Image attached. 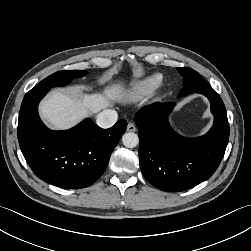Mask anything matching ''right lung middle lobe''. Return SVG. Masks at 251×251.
<instances>
[{
  "mask_svg": "<svg viewBox=\"0 0 251 251\" xmlns=\"http://www.w3.org/2000/svg\"><path fill=\"white\" fill-rule=\"evenodd\" d=\"M87 72L84 70H65L56 72L46 79L38 83L35 88H48L56 86H65L70 83L74 78L82 77L86 75Z\"/></svg>",
  "mask_w": 251,
  "mask_h": 251,
  "instance_id": "1",
  "label": "right lung middle lobe"
}]
</instances>
